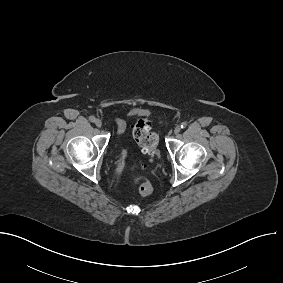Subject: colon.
I'll return each instance as SVG.
<instances>
[{
  "label": "colon",
  "mask_w": 283,
  "mask_h": 283,
  "mask_svg": "<svg viewBox=\"0 0 283 283\" xmlns=\"http://www.w3.org/2000/svg\"><path fill=\"white\" fill-rule=\"evenodd\" d=\"M151 120L149 118L139 119L133 126V137L142 150L146 153L153 154L157 145V136L151 131ZM139 192L143 196L152 193V185L149 181L144 180L139 185Z\"/></svg>",
  "instance_id": "colon-1"
}]
</instances>
